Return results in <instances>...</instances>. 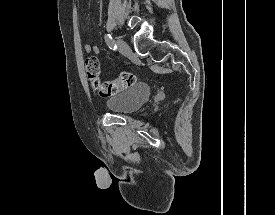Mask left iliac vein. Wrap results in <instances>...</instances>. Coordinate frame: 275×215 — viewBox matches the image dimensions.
<instances>
[{
  "mask_svg": "<svg viewBox=\"0 0 275 215\" xmlns=\"http://www.w3.org/2000/svg\"><path fill=\"white\" fill-rule=\"evenodd\" d=\"M117 46L118 50L124 54V55H129L131 53V49L129 45L123 41L121 38H117Z\"/></svg>",
  "mask_w": 275,
  "mask_h": 215,
  "instance_id": "left-iliac-vein-1",
  "label": "left iliac vein"
}]
</instances>
